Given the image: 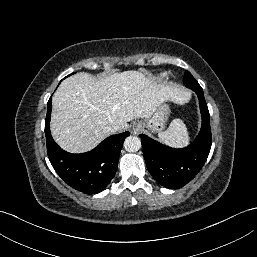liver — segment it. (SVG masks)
I'll return each instance as SVG.
<instances>
[{
	"label": "liver",
	"instance_id": "1",
	"mask_svg": "<svg viewBox=\"0 0 257 257\" xmlns=\"http://www.w3.org/2000/svg\"><path fill=\"white\" fill-rule=\"evenodd\" d=\"M187 96L183 89L157 84L135 70L99 80L80 72L65 79L53 95L51 132L64 150L86 152L110 135L106 126L124 131L133 119L149 118L160 104L182 103Z\"/></svg>",
	"mask_w": 257,
	"mask_h": 257
}]
</instances>
